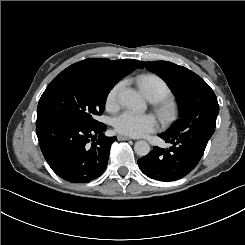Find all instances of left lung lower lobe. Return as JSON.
Here are the masks:
<instances>
[{
    "label": "left lung lower lobe",
    "instance_id": "0a47b994",
    "mask_svg": "<svg viewBox=\"0 0 245 245\" xmlns=\"http://www.w3.org/2000/svg\"><path fill=\"white\" fill-rule=\"evenodd\" d=\"M216 117L205 111L187 121L182 129L166 131L159 135L169 149L156 147L138 160L141 171L158 181H175L188 175L203 156L206 145L214 133Z\"/></svg>",
    "mask_w": 245,
    "mask_h": 245
}]
</instances>
